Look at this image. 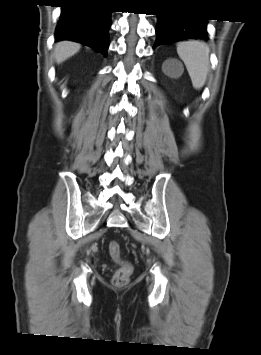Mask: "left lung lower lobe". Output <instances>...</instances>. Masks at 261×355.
<instances>
[{
	"mask_svg": "<svg viewBox=\"0 0 261 355\" xmlns=\"http://www.w3.org/2000/svg\"><path fill=\"white\" fill-rule=\"evenodd\" d=\"M157 40L155 46L188 39L207 40L206 18H189L172 15H157Z\"/></svg>",
	"mask_w": 261,
	"mask_h": 355,
	"instance_id": "1",
	"label": "left lung lower lobe"
}]
</instances>
